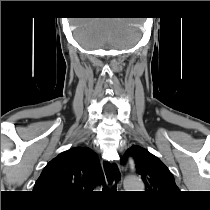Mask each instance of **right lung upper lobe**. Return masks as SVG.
<instances>
[{"mask_svg": "<svg viewBox=\"0 0 210 210\" xmlns=\"http://www.w3.org/2000/svg\"><path fill=\"white\" fill-rule=\"evenodd\" d=\"M103 180L97 154L88 147H76L46 165L33 191L56 203H68Z\"/></svg>", "mask_w": 210, "mask_h": 210, "instance_id": "obj_1", "label": "right lung upper lobe"}]
</instances>
